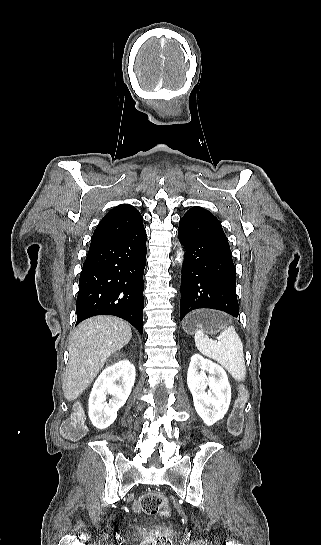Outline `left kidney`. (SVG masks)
Here are the masks:
<instances>
[{
	"mask_svg": "<svg viewBox=\"0 0 321 545\" xmlns=\"http://www.w3.org/2000/svg\"><path fill=\"white\" fill-rule=\"evenodd\" d=\"M205 371H208L209 377H206ZM187 385L192 393L195 411L205 425L211 427L223 419L229 409L231 387L220 365L203 359L201 355H193L187 371ZM207 385L211 393H206Z\"/></svg>",
	"mask_w": 321,
	"mask_h": 545,
	"instance_id": "1",
	"label": "left kidney"
}]
</instances>
